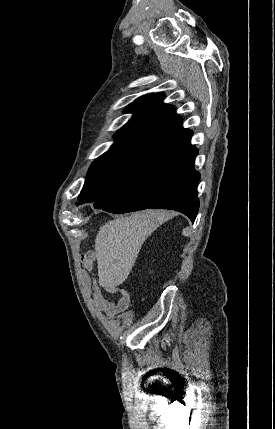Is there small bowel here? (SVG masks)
Wrapping results in <instances>:
<instances>
[{
	"mask_svg": "<svg viewBox=\"0 0 275 429\" xmlns=\"http://www.w3.org/2000/svg\"><path fill=\"white\" fill-rule=\"evenodd\" d=\"M106 290L117 293L118 299L116 301L108 300L104 297L100 287L92 286L87 282V291L92 297L94 306L105 314L115 315L128 308L130 304V295L126 290L117 286L106 287Z\"/></svg>",
	"mask_w": 275,
	"mask_h": 429,
	"instance_id": "c3829d8e",
	"label": "small bowel"
}]
</instances>
